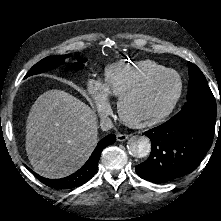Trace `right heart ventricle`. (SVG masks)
I'll use <instances>...</instances> for the list:
<instances>
[{"mask_svg": "<svg viewBox=\"0 0 221 221\" xmlns=\"http://www.w3.org/2000/svg\"><path fill=\"white\" fill-rule=\"evenodd\" d=\"M166 67L151 60L118 62L109 65L104 73V85L110 95L121 97Z\"/></svg>", "mask_w": 221, "mask_h": 221, "instance_id": "1", "label": "right heart ventricle"}]
</instances>
